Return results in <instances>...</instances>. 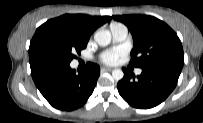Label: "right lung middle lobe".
Masks as SVG:
<instances>
[{
  "mask_svg": "<svg viewBox=\"0 0 203 123\" xmlns=\"http://www.w3.org/2000/svg\"><path fill=\"white\" fill-rule=\"evenodd\" d=\"M81 37L67 24L49 20L37 28L29 47V60H58L70 63L74 53L87 46Z\"/></svg>",
  "mask_w": 203,
  "mask_h": 123,
  "instance_id": "right-lung-middle-lobe-1",
  "label": "right lung middle lobe"
}]
</instances>
